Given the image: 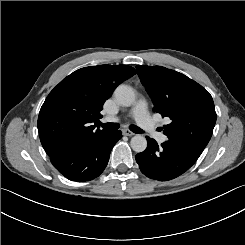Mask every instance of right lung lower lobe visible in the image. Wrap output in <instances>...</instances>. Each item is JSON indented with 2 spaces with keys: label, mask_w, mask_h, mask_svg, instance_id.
<instances>
[{
  "label": "right lung lower lobe",
  "mask_w": 245,
  "mask_h": 245,
  "mask_svg": "<svg viewBox=\"0 0 245 245\" xmlns=\"http://www.w3.org/2000/svg\"><path fill=\"white\" fill-rule=\"evenodd\" d=\"M121 137V131L107 130L66 144L49 157L54 167L69 180L90 181L104 171L110 152Z\"/></svg>",
  "instance_id": "obj_1"
}]
</instances>
